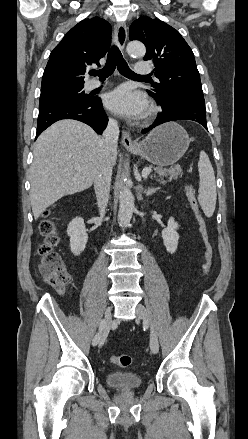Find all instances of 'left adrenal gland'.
I'll return each mask as SVG.
<instances>
[{
    "label": "left adrenal gland",
    "instance_id": "1",
    "mask_svg": "<svg viewBox=\"0 0 248 439\" xmlns=\"http://www.w3.org/2000/svg\"><path fill=\"white\" fill-rule=\"evenodd\" d=\"M157 190H158V188H148V189L142 188V191L146 194V196H150V195L154 194Z\"/></svg>",
    "mask_w": 248,
    "mask_h": 439
}]
</instances>
